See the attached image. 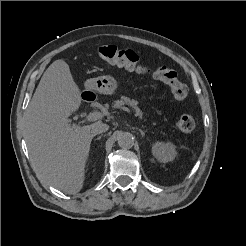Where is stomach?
<instances>
[{
	"label": "stomach",
	"mask_w": 246,
	"mask_h": 246,
	"mask_svg": "<svg viewBox=\"0 0 246 246\" xmlns=\"http://www.w3.org/2000/svg\"><path fill=\"white\" fill-rule=\"evenodd\" d=\"M86 91H97L102 94H112L118 87L117 80L111 75L90 78L85 81Z\"/></svg>",
	"instance_id": "0dacf381"
}]
</instances>
